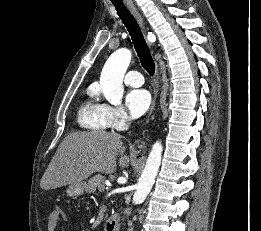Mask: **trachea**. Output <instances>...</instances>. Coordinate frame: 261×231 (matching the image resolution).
<instances>
[{"label":"trachea","mask_w":261,"mask_h":231,"mask_svg":"<svg viewBox=\"0 0 261 231\" xmlns=\"http://www.w3.org/2000/svg\"><path fill=\"white\" fill-rule=\"evenodd\" d=\"M111 2L114 4L120 19L131 36L141 65L151 76H153L155 73V63L136 19L124 5L122 0H111Z\"/></svg>","instance_id":"trachea-1"}]
</instances>
